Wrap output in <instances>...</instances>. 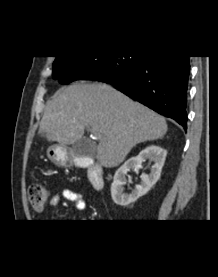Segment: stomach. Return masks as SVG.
<instances>
[{"mask_svg": "<svg viewBox=\"0 0 218 277\" xmlns=\"http://www.w3.org/2000/svg\"><path fill=\"white\" fill-rule=\"evenodd\" d=\"M48 158L57 165L69 166L71 159L66 147L61 145H53L47 149Z\"/></svg>", "mask_w": 218, "mask_h": 277, "instance_id": "1", "label": "stomach"}]
</instances>
